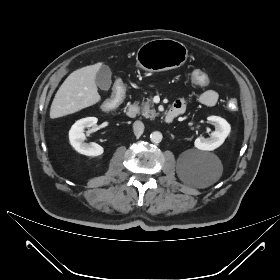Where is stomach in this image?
Instances as JSON below:
<instances>
[{"label":"stomach","instance_id":"0dacf381","mask_svg":"<svg viewBox=\"0 0 280 280\" xmlns=\"http://www.w3.org/2000/svg\"><path fill=\"white\" fill-rule=\"evenodd\" d=\"M188 58L184 44L173 39H155L140 46L137 64L145 71L159 72L182 66Z\"/></svg>","mask_w":280,"mask_h":280}]
</instances>
